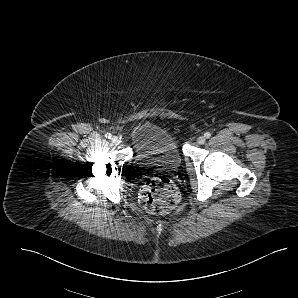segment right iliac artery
<instances>
[{
	"mask_svg": "<svg viewBox=\"0 0 298 298\" xmlns=\"http://www.w3.org/2000/svg\"><path fill=\"white\" fill-rule=\"evenodd\" d=\"M105 137H106L107 139H112V135H111V133H106V134H105Z\"/></svg>",
	"mask_w": 298,
	"mask_h": 298,
	"instance_id": "1",
	"label": "right iliac artery"
}]
</instances>
